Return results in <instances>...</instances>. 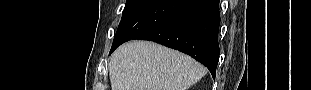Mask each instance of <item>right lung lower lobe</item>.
I'll list each match as a JSON object with an SVG mask.
<instances>
[{
    "label": "right lung lower lobe",
    "instance_id": "98d812e1",
    "mask_svg": "<svg viewBox=\"0 0 311 90\" xmlns=\"http://www.w3.org/2000/svg\"><path fill=\"white\" fill-rule=\"evenodd\" d=\"M219 25V0H189L135 39L155 41L184 52L204 64L215 78L220 53Z\"/></svg>",
    "mask_w": 311,
    "mask_h": 90
}]
</instances>
